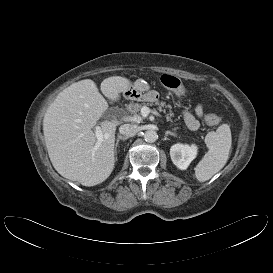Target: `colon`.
<instances>
[{
	"mask_svg": "<svg viewBox=\"0 0 273 273\" xmlns=\"http://www.w3.org/2000/svg\"><path fill=\"white\" fill-rule=\"evenodd\" d=\"M162 84L178 96H184L186 93V89L182 82L172 75H163L161 77ZM205 122L208 125L215 126L218 125L221 121L220 117L215 114H207L204 118Z\"/></svg>",
	"mask_w": 273,
	"mask_h": 273,
	"instance_id": "colon-1",
	"label": "colon"
}]
</instances>
